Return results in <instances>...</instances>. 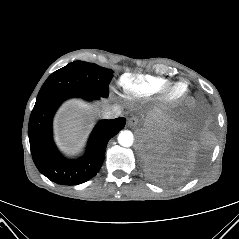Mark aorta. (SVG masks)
<instances>
[{"instance_id": "obj_1", "label": "aorta", "mask_w": 239, "mask_h": 239, "mask_svg": "<svg viewBox=\"0 0 239 239\" xmlns=\"http://www.w3.org/2000/svg\"><path fill=\"white\" fill-rule=\"evenodd\" d=\"M118 142L123 147H130L134 143V136L131 131L124 130L118 135Z\"/></svg>"}]
</instances>
